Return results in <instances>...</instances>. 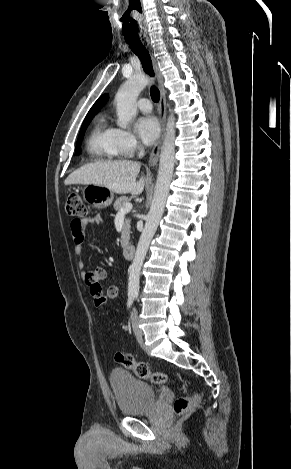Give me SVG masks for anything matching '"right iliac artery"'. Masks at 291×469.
Listing matches in <instances>:
<instances>
[{"label": "right iliac artery", "instance_id": "obj_1", "mask_svg": "<svg viewBox=\"0 0 291 469\" xmlns=\"http://www.w3.org/2000/svg\"><path fill=\"white\" fill-rule=\"evenodd\" d=\"M133 300H134V296L131 295V296L128 297V301H127L128 308H130L132 306Z\"/></svg>", "mask_w": 291, "mask_h": 469}]
</instances>
